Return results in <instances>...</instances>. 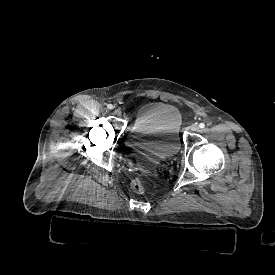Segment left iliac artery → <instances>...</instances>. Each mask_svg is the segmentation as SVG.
Segmentation results:
<instances>
[{
	"label": "left iliac artery",
	"mask_w": 275,
	"mask_h": 275,
	"mask_svg": "<svg viewBox=\"0 0 275 275\" xmlns=\"http://www.w3.org/2000/svg\"><path fill=\"white\" fill-rule=\"evenodd\" d=\"M199 127H200V128H204V127H205V124H204V123H200V124H199Z\"/></svg>",
	"instance_id": "left-iliac-artery-1"
}]
</instances>
